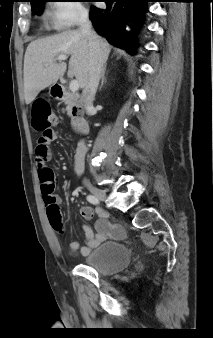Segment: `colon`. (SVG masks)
Listing matches in <instances>:
<instances>
[{
  "mask_svg": "<svg viewBox=\"0 0 213 338\" xmlns=\"http://www.w3.org/2000/svg\"><path fill=\"white\" fill-rule=\"evenodd\" d=\"M33 119L32 126L37 131H40L43 136H51L53 126L57 123V118L52 111L49 103L44 99H36L32 104ZM39 181L41 185V193L44 204L50 207L49 221L53 227H57L62 217L57 208L52 207L54 204V174L47 166L39 167Z\"/></svg>",
  "mask_w": 213,
  "mask_h": 338,
  "instance_id": "5ec220e1",
  "label": "colon"
}]
</instances>
